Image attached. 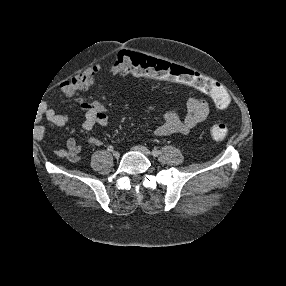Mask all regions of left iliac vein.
Returning a JSON list of instances; mask_svg holds the SVG:
<instances>
[{
    "mask_svg": "<svg viewBox=\"0 0 286 286\" xmlns=\"http://www.w3.org/2000/svg\"><path fill=\"white\" fill-rule=\"evenodd\" d=\"M132 149L134 151H138V152L144 154L145 156L151 155V151L148 148H146L145 146L136 145V146H133Z\"/></svg>",
    "mask_w": 286,
    "mask_h": 286,
    "instance_id": "obj_1",
    "label": "left iliac vein"
}]
</instances>
